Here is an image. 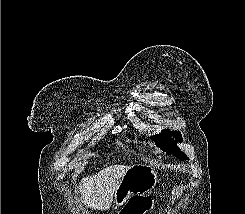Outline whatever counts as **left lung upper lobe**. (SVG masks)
Listing matches in <instances>:
<instances>
[{"label": "left lung upper lobe", "instance_id": "5c2ea615", "mask_svg": "<svg viewBox=\"0 0 245 214\" xmlns=\"http://www.w3.org/2000/svg\"><path fill=\"white\" fill-rule=\"evenodd\" d=\"M172 135L175 137L174 141L173 138H171ZM151 139L154 140L157 146H159L163 151H166L167 154H173L180 160H189L187 155L180 151V148L176 146L177 142H182V136L180 133L165 129L161 134L151 136Z\"/></svg>", "mask_w": 245, "mask_h": 214}]
</instances>
